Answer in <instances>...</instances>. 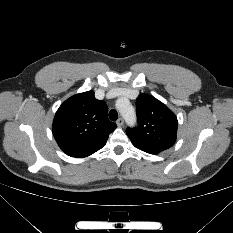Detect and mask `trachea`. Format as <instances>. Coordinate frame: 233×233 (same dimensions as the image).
Returning <instances> with one entry per match:
<instances>
[{
	"instance_id": "1",
	"label": "trachea",
	"mask_w": 233,
	"mask_h": 233,
	"mask_svg": "<svg viewBox=\"0 0 233 233\" xmlns=\"http://www.w3.org/2000/svg\"><path fill=\"white\" fill-rule=\"evenodd\" d=\"M109 118L111 121H116L117 118H118V113L116 110L112 109L110 112H109Z\"/></svg>"
}]
</instances>
